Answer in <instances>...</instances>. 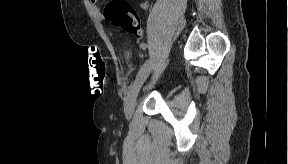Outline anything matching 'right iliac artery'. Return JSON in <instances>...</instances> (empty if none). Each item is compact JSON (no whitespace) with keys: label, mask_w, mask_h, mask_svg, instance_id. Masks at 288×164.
<instances>
[{"label":"right iliac artery","mask_w":288,"mask_h":164,"mask_svg":"<svg viewBox=\"0 0 288 164\" xmlns=\"http://www.w3.org/2000/svg\"><path fill=\"white\" fill-rule=\"evenodd\" d=\"M146 47H147V45H146L145 43H141V44H140V48H141V49L145 50Z\"/></svg>","instance_id":"82829eb1"}]
</instances>
